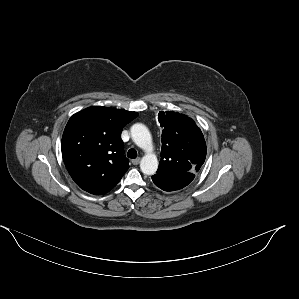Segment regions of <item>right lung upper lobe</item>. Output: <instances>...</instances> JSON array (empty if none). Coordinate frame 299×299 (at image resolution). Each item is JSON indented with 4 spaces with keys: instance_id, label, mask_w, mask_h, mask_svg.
Wrapping results in <instances>:
<instances>
[{
    "instance_id": "1",
    "label": "right lung upper lobe",
    "mask_w": 299,
    "mask_h": 299,
    "mask_svg": "<svg viewBox=\"0 0 299 299\" xmlns=\"http://www.w3.org/2000/svg\"><path fill=\"white\" fill-rule=\"evenodd\" d=\"M137 116V112L93 106L69 119L62 136V156L81 189L102 195L117 185L129 168L121 131Z\"/></svg>"
}]
</instances>
